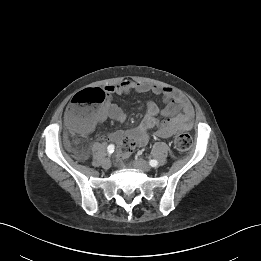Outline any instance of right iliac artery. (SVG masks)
<instances>
[{
    "instance_id": "1",
    "label": "right iliac artery",
    "mask_w": 261,
    "mask_h": 261,
    "mask_svg": "<svg viewBox=\"0 0 261 261\" xmlns=\"http://www.w3.org/2000/svg\"><path fill=\"white\" fill-rule=\"evenodd\" d=\"M114 149H115V146L113 144H110L108 147H107V151L109 154L113 153L114 152Z\"/></svg>"
}]
</instances>
